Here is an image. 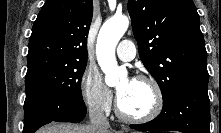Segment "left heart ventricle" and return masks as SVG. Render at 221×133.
Listing matches in <instances>:
<instances>
[{"instance_id":"left-heart-ventricle-1","label":"left heart ventricle","mask_w":221,"mask_h":133,"mask_svg":"<svg viewBox=\"0 0 221 133\" xmlns=\"http://www.w3.org/2000/svg\"><path fill=\"white\" fill-rule=\"evenodd\" d=\"M119 100L122 110L129 115H144L154 104L151 86L143 81L125 78L118 84Z\"/></svg>"}]
</instances>
